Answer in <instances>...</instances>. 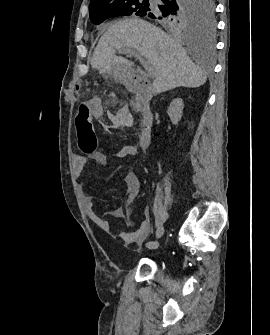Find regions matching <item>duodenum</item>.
Masks as SVG:
<instances>
[{
  "mask_svg": "<svg viewBox=\"0 0 270 335\" xmlns=\"http://www.w3.org/2000/svg\"><path fill=\"white\" fill-rule=\"evenodd\" d=\"M131 89L138 95H140L142 92V87L140 85H132ZM139 108L141 111L139 142L142 148H147L151 140L153 114L149 106L146 104H139Z\"/></svg>",
  "mask_w": 270,
  "mask_h": 335,
  "instance_id": "obj_1",
  "label": "duodenum"
}]
</instances>
